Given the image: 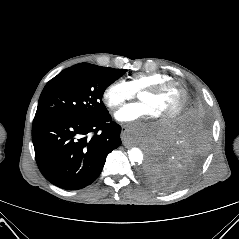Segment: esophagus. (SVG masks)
<instances>
[{
  "label": "esophagus",
  "mask_w": 239,
  "mask_h": 239,
  "mask_svg": "<svg viewBox=\"0 0 239 239\" xmlns=\"http://www.w3.org/2000/svg\"><path fill=\"white\" fill-rule=\"evenodd\" d=\"M127 132V127L126 126H123L122 127V131H121V138L123 139V144L126 146V147H129L131 146L127 140H126V137H125V134Z\"/></svg>",
  "instance_id": "obj_1"
}]
</instances>
